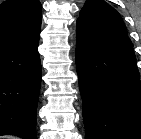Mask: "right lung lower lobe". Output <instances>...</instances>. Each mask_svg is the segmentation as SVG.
Returning a JSON list of instances; mask_svg holds the SVG:
<instances>
[{"instance_id":"1","label":"right lung lower lobe","mask_w":141,"mask_h":139,"mask_svg":"<svg viewBox=\"0 0 141 139\" xmlns=\"http://www.w3.org/2000/svg\"><path fill=\"white\" fill-rule=\"evenodd\" d=\"M39 35L0 47V135L37 139L36 111L42 76Z\"/></svg>"}]
</instances>
